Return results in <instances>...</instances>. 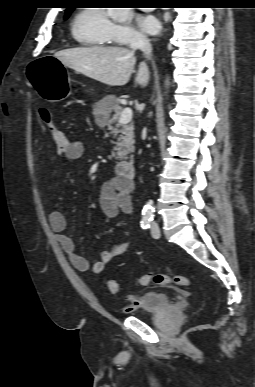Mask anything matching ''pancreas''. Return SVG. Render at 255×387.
Masks as SVG:
<instances>
[{"label":"pancreas","instance_id":"cf45deb5","mask_svg":"<svg viewBox=\"0 0 255 387\" xmlns=\"http://www.w3.org/2000/svg\"><path fill=\"white\" fill-rule=\"evenodd\" d=\"M97 105H106V109L99 111L98 116H102L103 125H107L108 129L111 130L115 136H118L115 147L111 154L115 159L122 160L127 155L134 151V127L133 124H116L122 113V107L120 106L119 100L114 96L110 95L102 99ZM114 111V115L110 118L109 114ZM120 127L117 129L116 127Z\"/></svg>","mask_w":255,"mask_h":387}]
</instances>
